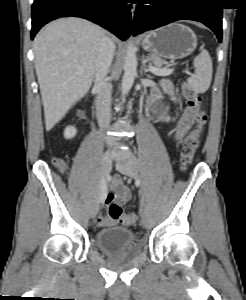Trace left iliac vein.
<instances>
[{"label":"left iliac vein","instance_id":"4c4485c4","mask_svg":"<svg viewBox=\"0 0 246 300\" xmlns=\"http://www.w3.org/2000/svg\"><path fill=\"white\" fill-rule=\"evenodd\" d=\"M117 169L124 175L136 179L138 177V170L136 165L131 160L118 161L116 163ZM141 224L144 228L149 229L152 227V217L148 210V207L143 204L141 209Z\"/></svg>","mask_w":246,"mask_h":300}]
</instances>
